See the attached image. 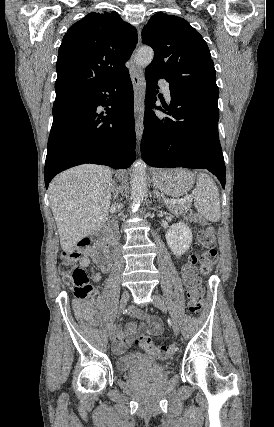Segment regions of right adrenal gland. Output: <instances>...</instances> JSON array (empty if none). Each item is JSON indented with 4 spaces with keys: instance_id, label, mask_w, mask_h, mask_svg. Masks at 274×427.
<instances>
[{
    "instance_id": "right-adrenal-gland-1",
    "label": "right adrenal gland",
    "mask_w": 274,
    "mask_h": 427,
    "mask_svg": "<svg viewBox=\"0 0 274 427\" xmlns=\"http://www.w3.org/2000/svg\"><path fill=\"white\" fill-rule=\"evenodd\" d=\"M113 186H116L114 180H113ZM116 194H118L117 190H115L114 198H116Z\"/></svg>"
}]
</instances>
